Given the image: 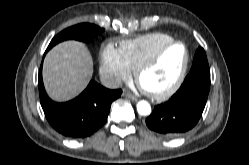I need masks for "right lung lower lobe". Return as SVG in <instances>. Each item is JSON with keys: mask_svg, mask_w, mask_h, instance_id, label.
Wrapping results in <instances>:
<instances>
[{"mask_svg": "<svg viewBox=\"0 0 249 165\" xmlns=\"http://www.w3.org/2000/svg\"><path fill=\"white\" fill-rule=\"evenodd\" d=\"M38 87L41 106L49 124L60 134L70 138L88 137L102 127L107 120L111 103L122 93L120 89H106L91 81L75 99L57 103L52 101L45 92L42 65Z\"/></svg>", "mask_w": 249, "mask_h": 165, "instance_id": "1", "label": "right lung lower lobe"}]
</instances>
